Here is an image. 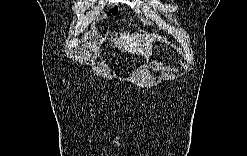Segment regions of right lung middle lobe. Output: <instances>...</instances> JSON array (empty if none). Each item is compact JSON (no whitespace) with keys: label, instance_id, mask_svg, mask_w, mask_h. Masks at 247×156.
Here are the masks:
<instances>
[{"label":"right lung middle lobe","instance_id":"obj_1","mask_svg":"<svg viewBox=\"0 0 247 156\" xmlns=\"http://www.w3.org/2000/svg\"><path fill=\"white\" fill-rule=\"evenodd\" d=\"M117 11H118L117 8H116V9H113V10H111V11L108 13V15H110L111 13H112V15H115V14L117 13Z\"/></svg>","mask_w":247,"mask_h":156}]
</instances>
